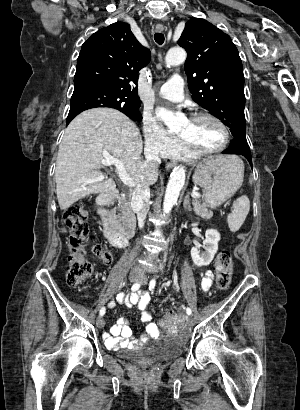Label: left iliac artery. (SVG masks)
I'll return each mask as SVG.
<instances>
[{"mask_svg": "<svg viewBox=\"0 0 300 410\" xmlns=\"http://www.w3.org/2000/svg\"><path fill=\"white\" fill-rule=\"evenodd\" d=\"M156 285V278L154 277L153 279H151L150 283H149V290L153 291ZM186 313L188 315L192 314V311L190 308H186Z\"/></svg>", "mask_w": 300, "mask_h": 410, "instance_id": "1", "label": "left iliac artery"}]
</instances>
